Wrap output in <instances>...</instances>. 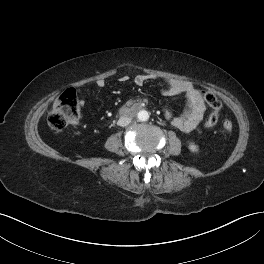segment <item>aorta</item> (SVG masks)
I'll return each instance as SVG.
<instances>
[{"label": "aorta", "instance_id": "obj_1", "mask_svg": "<svg viewBox=\"0 0 264 264\" xmlns=\"http://www.w3.org/2000/svg\"><path fill=\"white\" fill-rule=\"evenodd\" d=\"M136 118L139 121H147L149 119V113L146 110H140L137 114H136Z\"/></svg>", "mask_w": 264, "mask_h": 264}]
</instances>
